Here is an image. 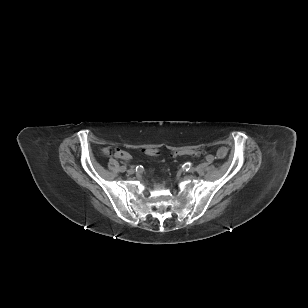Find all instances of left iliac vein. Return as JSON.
Returning <instances> with one entry per match:
<instances>
[{
	"label": "left iliac vein",
	"instance_id": "obj_1",
	"mask_svg": "<svg viewBox=\"0 0 308 308\" xmlns=\"http://www.w3.org/2000/svg\"><path fill=\"white\" fill-rule=\"evenodd\" d=\"M189 172H190V173L195 172V168H194V167H191V168L189 169Z\"/></svg>",
	"mask_w": 308,
	"mask_h": 308
}]
</instances>
